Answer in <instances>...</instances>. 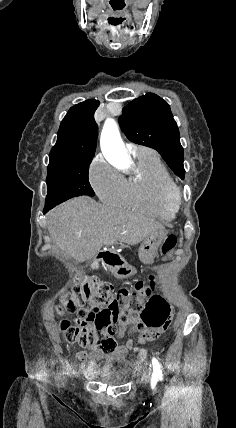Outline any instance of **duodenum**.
I'll list each match as a JSON object with an SVG mask.
<instances>
[{"label": "duodenum", "instance_id": "obj_1", "mask_svg": "<svg viewBox=\"0 0 236 428\" xmlns=\"http://www.w3.org/2000/svg\"><path fill=\"white\" fill-rule=\"evenodd\" d=\"M122 258L110 249L99 250L92 260V264H102L113 272H118L123 266Z\"/></svg>", "mask_w": 236, "mask_h": 428}]
</instances>
